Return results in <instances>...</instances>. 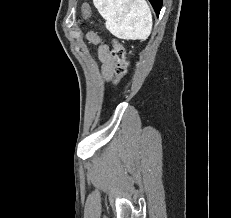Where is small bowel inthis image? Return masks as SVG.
Instances as JSON below:
<instances>
[{"mask_svg": "<svg viewBox=\"0 0 231 218\" xmlns=\"http://www.w3.org/2000/svg\"><path fill=\"white\" fill-rule=\"evenodd\" d=\"M87 37L92 43L99 45L98 56L102 62V70L105 77L110 79L113 75L115 67L114 57L112 56L109 48L100 42L99 37L95 33L90 32L88 33Z\"/></svg>", "mask_w": 231, "mask_h": 218, "instance_id": "c3829d8e", "label": "small bowel"}]
</instances>
